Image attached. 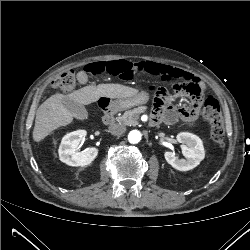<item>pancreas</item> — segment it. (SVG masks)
<instances>
[{
  "instance_id": "1",
  "label": "pancreas",
  "mask_w": 250,
  "mask_h": 250,
  "mask_svg": "<svg viewBox=\"0 0 250 250\" xmlns=\"http://www.w3.org/2000/svg\"><path fill=\"white\" fill-rule=\"evenodd\" d=\"M147 110L146 106H139L134 108L133 110L126 111L122 116L118 117L116 120L119 123L134 126L137 125V120L139 119V115L144 113Z\"/></svg>"
}]
</instances>
